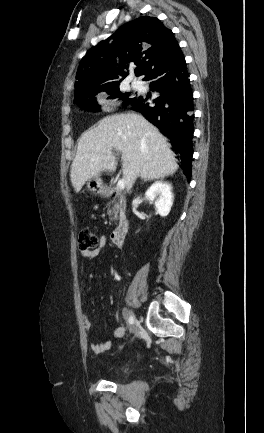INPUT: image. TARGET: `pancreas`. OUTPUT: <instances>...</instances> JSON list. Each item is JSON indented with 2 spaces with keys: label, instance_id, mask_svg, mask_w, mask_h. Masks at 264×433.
I'll list each match as a JSON object with an SVG mask.
<instances>
[{
  "label": "pancreas",
  "instance_id": "cf45deb5",
  "mask_svg": "<svg viewBox=\"0 0 264 433\" xmlns=\"http://www.w3.org/2000/svg\"><path fill=\"white\" fill-rule=\"evenodd\" d=\"M126 202L123 197H120L119 202L115 203L112 210H108V215L111 216V220L122 218L125 214Z\"/></svg>",
  "mask_w": 264,
  "mask_h": 433
}]
</instances>
